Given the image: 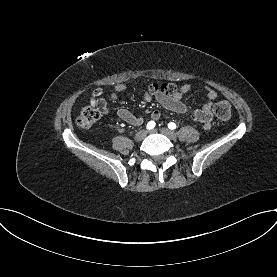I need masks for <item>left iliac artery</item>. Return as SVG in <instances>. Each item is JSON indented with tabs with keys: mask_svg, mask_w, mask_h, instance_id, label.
Listing matches in <instances>:
<instances>
[{
	"mask_svg": "<svg viewBox=\"0 0 277 277\" xmlns=\"http://www.w3.org/2000/svg\"><path fill=\"white\" fill-rule=\"evenodd\" d=\"M168 127H169V129L173 130V129L176 128V124L171 122V123L168 124Z\"/></svg>",
	"mask_w": 277,
	"mask_h": 277,
	"instance_id": "obj_1",
	"label": "left iliac artery"
}]
</instances>
